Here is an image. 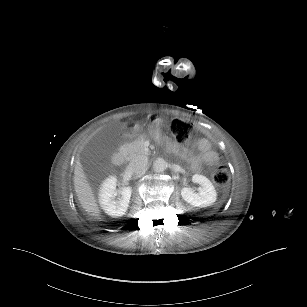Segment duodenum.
Masks as SVG:
<instances>
[{"label": "duodenum", "mask_w": 307, "mask_h": 307, "mask_svg": "<svg viewBox=\"0 0 307 307\" xmlns=\"http://www.w3.org/2000/svg\"><path fill=\"white\" fill-rule=\"evenodd\" d=\"M128 141H129V138L125 137L124 142H128ZM124 158H125L124 152L122 150H119V151L115 152V154L113 156V163L116 164V165H120V164L123 163Z\"/></svg>", "instance_id": "duodenum-1"}]
</instances>
